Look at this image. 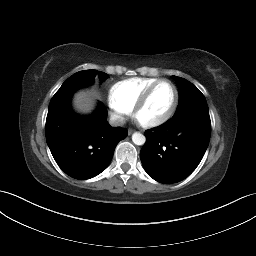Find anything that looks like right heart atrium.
I'll return each instance as SVG.
<instances>
[{
    "instance_id": "d8ad5b80",
    "label": "right heart atrium",
    "mask_w": 256,
    "mask_h": 256,
    "mask_svg": "<svg viewBox=\"0 0 256 256\" xmlns=\"http://www.w3.org/2000/svg\"><path fill=\"white\" fill-rule=\"evenodd\" d=\"M111 115L117 122H123L129 115L130 110L110 103Z\"/></svg>"
}]
</instances>
